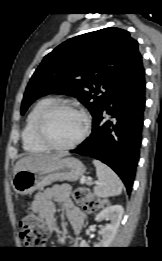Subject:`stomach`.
I'll return each mask as SVG.
<instances>
[{
  "label": "stomach",
  "mask_w": 162,
  "mask_h": 261,
  "mask_svg": "<svg viewBox=\"0 0 162 261\" xmlns=\"http://www.w3.org/2000/svg\"><path fill=\"white\" fill-rule=\"evenodd\" d=\"M84 172L85 167L80 160L62 156L42 167L17 172L13 177L12 186L17 194L26 195L56 181H76Z\"/></svg>",
  "instance_id": "stomach-1"
}]
</instances>
